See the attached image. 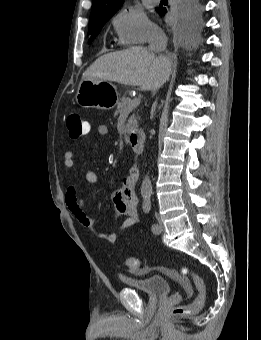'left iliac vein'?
<instances>
[{"label":"left iliac vein","instance_id":"obj_1","mask_svg":"<svg viewBox=\"0 0 261 340\" xmlns=\"http://www.w3.org/2000/svg\"><path fill=\"white\" fill-rule=\"evenodd\" d=\"M156 217H157V222H158V230L155 231V233L159 234V233L163 232L164 225H163V223L161 221V218H160V216L158 214L156 215Z\"/></svg>","mask_w":261,"mask_h":340}]
</instances>
